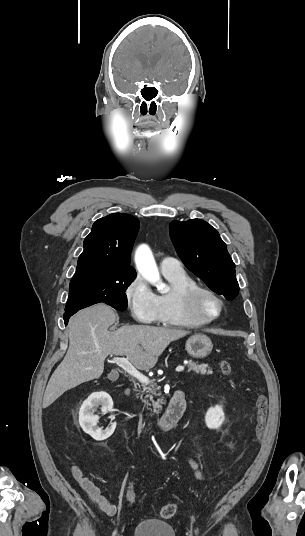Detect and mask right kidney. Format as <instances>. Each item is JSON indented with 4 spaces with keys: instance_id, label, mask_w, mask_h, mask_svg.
Returning a JSON list of instances; mask_svg holds the SVG:
<instances>
[{
    "instance_id": "right-kidney-1",
    "label": "right kidney",
    "mask_w": 305,
    "mask_h": 536,
    "mask_svg": "<svg viewBox=\"0 0 305 536\" xmlns=\"http://www.w3.org/2000/svg\"><path fill=\"white\" fill-rule=\"evenodd\" d=\"M95 406H102V412H114L112 398L106 392H98V394H92L89 396L86 402H83L80 408L79 422L81 428H83L86 434L92 436L94 440H107L112 436L115 428L116 422L111 424L110 428L107 430H102L97 426L99 416H95L94 410ZM111 420H115L114 416H110Z\"/></svg>"
}]
</instances>
